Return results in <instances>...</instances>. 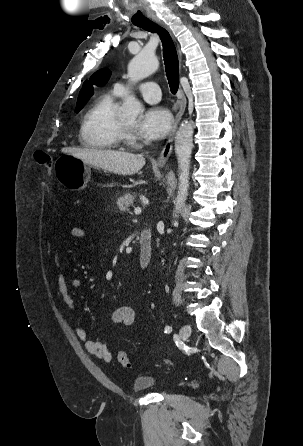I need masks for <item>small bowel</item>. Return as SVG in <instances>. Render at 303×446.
Returning a JSON list of instances; mask_svg holds the SVG:
<instances>
[{"instance_id":"obj_1","label":"small bowel","mask_w":303,"mask_h":446,"mask_svg":"<svg viewBox=\"0 0 303 446\" xmlns=\"http://www.w3.org/2000/svg\"><path fill=\"white\" fill-rule=\"evenodd\" d=\"M70 235L75 240H82L86 233L81 227H73L70 230ZM55 268L57 275V288L62 296L64 303L69 309L75 308L74 301L70 295L71 289H79L82 287V281L78 278H68L66 272L60 262L59 252L55 257ZM112 319L115 323L130 325L135 319V311L130 306H123L116 309L112 314ZM76 334L80 340L84 342L85 349L88 353L106 362L111 361L112 355L108 347L99 341H94L88 338L87 332L83 328H77Z\"/></svg>"}]
</instances>
